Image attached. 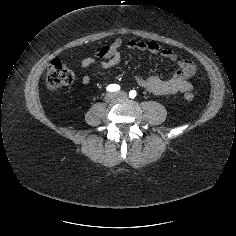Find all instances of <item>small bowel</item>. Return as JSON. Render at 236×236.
Masks as SVG:
<instances>
[{
  "instance_id": "1",
  "label": "small bowel",
  "mask_w": 236,
  "mask_h": 236,
  "mask_svg": "<svg viewBox=\"0 0 236 236\" xmlns=\"http://www.w3.org/2000/svg\"><path fill=\"white\" fill-rule=\"evenodd\" d=\"M122 45V40L116 39L110 45L99 46L94 56L82 59L80 63L81 68L85 70L94 64H99L102 68L107 69L119 65L122 61L120 53ZM126 46L131 50L149 51L153 54H159L175 62L178 66L169 79H161L157 76H136L135 81L140 87L155 95L186 93L193 89L189 78L194 74L195 66L188 58L171 49L163 48L155 42L129 40ZM81 83L84 86H88L91 83V77L84 75L81 78Z\"/></svg>"
}]
</instances>
